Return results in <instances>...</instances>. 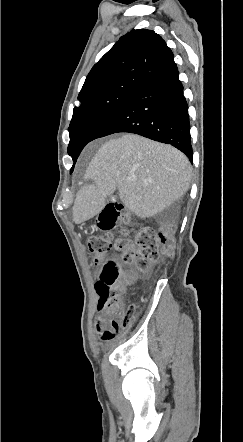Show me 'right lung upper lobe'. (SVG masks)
I'll return each mask as SVG.
<instances>
[{
	"label": "right lung upper lobe",
	"mask_w": 243,
	"mask_h": 442,
	"mask_svg": "<svg viewBox=\"0 0 243 442\" xmlns=\"http://www.w3.org/2000/svg\"><path fill=\"white\" fill-rule=\"evenodd\" d=\"M174 63L165 41L154 31L132 30L93 66L78 95L83 103L117 90H134Z\"/></svg>",
	"instance_id": "1"
}]
</instances>
